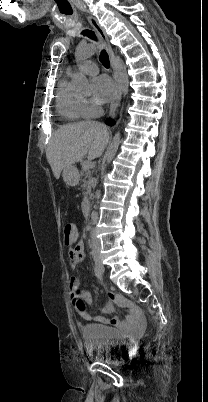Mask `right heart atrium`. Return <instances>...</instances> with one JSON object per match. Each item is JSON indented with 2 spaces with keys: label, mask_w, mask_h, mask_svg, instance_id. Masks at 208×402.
<instances>
[{
  "label": "right heart atrium",
  "mask_w": 208,
  "mask_h": 402,
  "mask_svg": "<svg viewBox=\"0 0 208 402\" xmlns=\"http://www.w3.org/2000/svg\"><path fill=\"white\" fill-rule=\"evenodd\" d=\"M81 103L83 115L86 120L96 119L102 113L103 103L98 98L89 95H82Z\"/></svg>",
  "instance_id": "obj_1"
}]
</instances>
